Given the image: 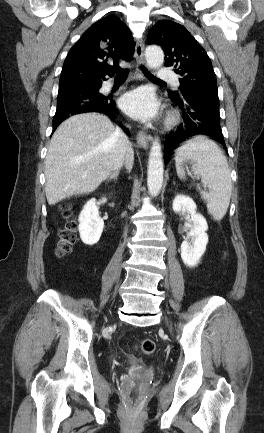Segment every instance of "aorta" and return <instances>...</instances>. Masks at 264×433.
Wrapping results in <instances>:
<instances>
[{"instance_id":"aorta-1","label":"aorta","mask_w":264,"mask_h":433,"mask_svg":"<svg viewBox=\"0 0 264 433\" xmlns=\"http://www.w3.org/2000/svg\"><path fill=\"white\" fill-rule=\"evenodd\" d=\"M147 64L150 68H159L164 62L163 50L155 45L148 46L145 51ZM163 158L159 138L152 142L148 160L147 186L150 195L157 196L163 185Z\"/></svg>"}]
</instances>
